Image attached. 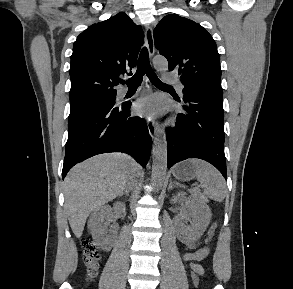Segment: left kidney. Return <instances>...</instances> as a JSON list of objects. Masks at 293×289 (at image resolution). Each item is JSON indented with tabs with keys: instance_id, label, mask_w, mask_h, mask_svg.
Returning a JSON list of instances; mask_svg holds the SVG:
<instances>
[{
	"instance_id": "5707ae66",
	"label": "left kidney",
	"mask_w": 293,
	"mask_h": 289,
	"mask_svg": "<svg viewBox=\"0 0 293 289\" xmlns=\"http://www.w3.org/2000/svg\"><path fill=\"white\" fill-rule=\"evenodd\" d=\"M172 202H185L187 212L184 215L185 221H190L191 225L180 224L177 227V237L184 243H193L197 241L208 227L212 213L209 206L202 201L187 198L185 193L180 192L173 197Z\"/></svg>"
}]
</instances>
